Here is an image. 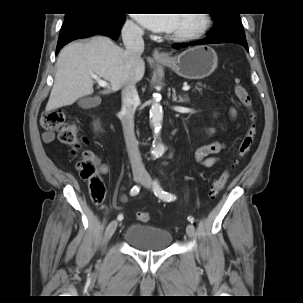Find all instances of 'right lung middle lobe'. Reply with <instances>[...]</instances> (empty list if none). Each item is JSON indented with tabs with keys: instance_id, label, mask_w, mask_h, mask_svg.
I'll return each instance as SVG.
<instances>
[{
	"instance_id": "1",
	"label": "right lung middle lobe",
	"mask_w": 303,
	"mask_h": 303,
	"mask_svg": "<svg viewBox=\"0 0 303 303\" xmlns=\"http://www.w3.org/2000/svg\"><path fill=\"white\" fill-rule=\"evenodd\" d=\"M88 12L97 13V14H103V15H111V16H124V14H107V13L99 12L97 10H88Z\"/></svg>"
}]
</instances>
